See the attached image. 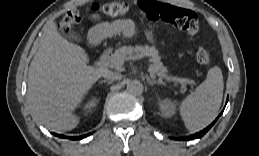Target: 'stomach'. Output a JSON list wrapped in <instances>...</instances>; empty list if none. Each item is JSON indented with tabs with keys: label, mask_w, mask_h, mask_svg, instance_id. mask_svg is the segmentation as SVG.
Here are the masks:
<instances>
[{
	"label": "stomach",
	"mask_w": 259,
	"mask_h": 156,
	"mask_svg": "<svg viewBox=\"0 0 259 156\" xmlns=\"http://www.w3.org/2000/svg\"><path fill=\"white\" fill-rule=\"evenodd\" d=\"M146 38L149 43H151L155 47V39L153 38L152 34L150 32L145 33Z\"/></svg>",
	"instance_id": "1"
}]
</instances>
